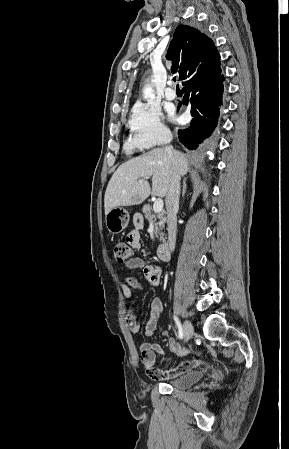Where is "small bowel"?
Segmentation results:
<instances>
[{"mask_svg": "<svg viewBox=\"0 0 289 449\" xmlns=\"http://www.w3.org/2000/svg\"><path fill=\"white\" fill-rule=\"evenodd\" d=\"M134 229H132L126 236V242L130 247L134 249H141L140 241V228L142 227V219L135 217L133 220ZM129 270H142L145 281L151 287H157L162 278V270L160 267L154 266L151 263L145 261L143 258L134 257L125 264ZM122 292L127 300L132 297V290H142V282L135 276H128L124 279L122 285ZM163 312V303L160 298H153L149 308V318L144 328V334L150 337L155 332L159 318ZM127 322L129 329L133 333H137L140 330V324L136 318L134 310L129 308L127 311ZM164 336L167 338L168 346L173 352L181 355L190 353L189 349L180 347V345L165 331ZM139 350L141 354V362L146 368V372L154 380L170 379L177 377L183 373H186L194 368L200 367L204 364L201 359L184 360L176 367L169 370H161L154 367L157 355L165 356L163 347L158 343H151L148 341H142L139 344ZM198 354V352H196Z\"/></svg>", "mask_w": 289, "mask_h": 449, "instance_id": "c3829d8e", "label": "small bowel"}]
</instances>
